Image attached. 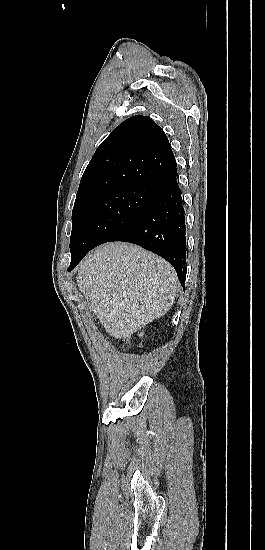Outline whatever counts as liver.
Here are the masks:
<instances>
[{
	"instance_id": "obj_1",
	"label": "liver",
	"mask_w": 265,
	"mask_h": 550,
	"mask_svg": "<svg viewBox=\"0 0 265 550\" xmlns=\"http://www.w3.org/2000/svg\"><path fill=\"white\" fill-rule=\"evenodd\" d=\"M77 285L105 330L125 339L169 311L178 279L173 266L158 255L112 242L84 258Z\"/></svg>"
}]
</instances>
